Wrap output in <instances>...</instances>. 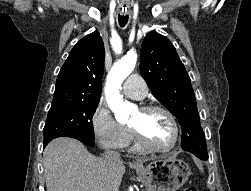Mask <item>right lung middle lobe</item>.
Listing matches in <instances>:
<instances>
[{
    "mask_svg": "<svg viewBox=\"0 0 251 191\" xmlns=\"http://www.w3.org/2000/svg\"><path fill=\"white\" fill-rule=\"evenodd\" d=\"M98 103L78 102L51 106L43 129L44 143L66 134L94 139L92 117Z\"/></svg>",
    "mask_w": 251,
    "mask_h": 191,
    "instance_id": "right-lung-middle-lobe-1",
    "label": "right lung middle lobe"
}]
</instances>
